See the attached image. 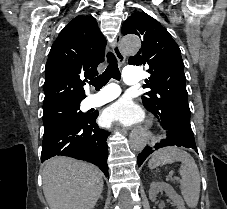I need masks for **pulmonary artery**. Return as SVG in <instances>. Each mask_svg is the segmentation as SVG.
Returning <instances> with one entry per match:
<instances>
[{"mask_svg":"<svg viewBox=\"0 0 227 209\" xmlns=\"http://www.w3.org/2000/svg\"><path fill=\"white\" fill-rule=\"evenodd\" d=\"M140 70H137L136 66H125L123 69V83L131 85L133 83H139ZM119 94L116 84L112 85V88H105V92H100L89 95L84 98L85 104L88 107H99L109 101L113 100Z\"/></svg>","mask_w":227,"mask_h":209,"instance_id":"pulmonary-artery-1","label":"pulmonary artery"}]
</instances>
